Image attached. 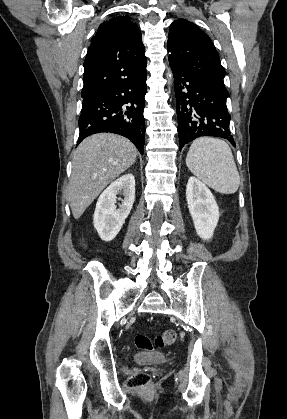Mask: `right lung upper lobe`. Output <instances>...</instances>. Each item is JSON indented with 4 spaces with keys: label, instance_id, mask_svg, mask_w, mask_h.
I'll list each match as a JSON object with an SVG mask.
<instances>
[{
    "label": "right lung upper lobe",
    "instance_id": "1",
    "mask_svg": "<svg viewBox=\"0 0 287 419\" xmlns=\"http://www.w3.org/2000/svg\"><path fill=\"white\" fill-rule=\"evenodd\" d=\"M144 53L141 32L129 16L103 22L84 61L83 103L144 74Z\"/></svg>",
    "mask_w": 287,
    "mask_h": 419
}]
</instances>
